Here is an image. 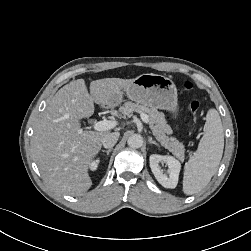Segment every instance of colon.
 Listing matches in <instances>:
<instances>
[{
  "mask_svg": "<svg viewBox=\"0 0 251 251\" xmlns=\"http://www.w3.org/2000/svg\"><path fill=\"white\" fill-rule=\"evenodd\" d=\"M184 87L188 90H191L193 88V85L191 82L189 81H186L184 82ZM199 109H200V104L198 101H192L191 104H190V111H191V114L194 118V120H197L198 118V115H199Z\"/></svg>",
  "mask_w": 251,
  "mask_h": 251,
  "instance_id": "1",
  "label": "colon"
}]
</instances>
